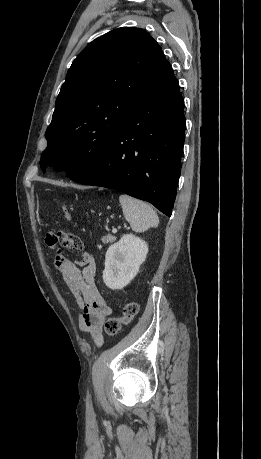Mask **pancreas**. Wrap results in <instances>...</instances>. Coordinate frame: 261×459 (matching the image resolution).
<instances>
[{
    "label": "pancreas",
    "instance_id": "cf45deb5",
    "mask_svg": "<svg viewBox=\"0 0 261 459\" xmlns=\"http://www.w3.org/2000/svg\"><path fill=\"white\" fill-rule=\"evenodd\" d=\"M101 240L104 244H108L114 242L116 240V237L108 234L106 236H103Z\"/></svg>",
    "mask_w": 261,
    "mask_h": 459
}]
</instances>
